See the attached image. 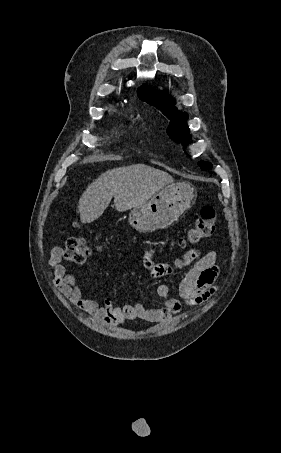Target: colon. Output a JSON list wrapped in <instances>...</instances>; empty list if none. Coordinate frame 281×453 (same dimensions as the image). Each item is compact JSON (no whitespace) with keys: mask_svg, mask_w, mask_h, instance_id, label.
<instances>
[{"mask_svg":"<svg viewBox=\"0 0 281 453\" xmlns=\"http://www.w3.org/2000/svg\"><path fill=\"white\" fill-rule=\"evenodd\" d=\"M215 226L214 208L211 204L205 203L202 205L201 215L187 232L188 244L191 246L200 244L212 234ZM64 253L66 260L70 262H84L91 255L92 248L85 236H74L66 239Z\"/></svg>","mask_w":281,"mask_h":453,"instance_id":"obj_1","label":"colon"}]
</instances>
